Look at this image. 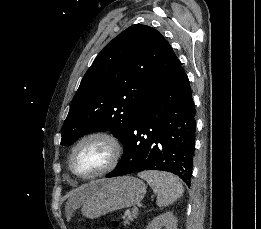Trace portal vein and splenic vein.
<instances>
[{
	"label": "portal vein and splenic vein",
	"mask_w": 261,
	"mask_h": 229,
	"mask_svg": "<svg viewBox=\"0 0 261 229\" xmlns=\"http://www.w3.org/2000/svg\"><path fill=\"white\" fill-rule=\"evenodd\" d=\"M139 209H140V210H143V209H144V204H143V203L138 204V207H135V208H134V211H135V212H138Z\"/></svg>",
	"instance_id": "portal-vein-and-splenic-vein-1"
}]
</instances>
